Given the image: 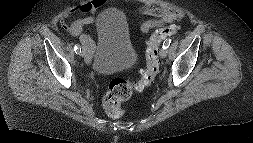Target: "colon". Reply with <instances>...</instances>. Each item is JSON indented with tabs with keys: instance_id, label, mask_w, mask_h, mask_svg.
<instances>
[{
	"instance_id": "1",
	"label": "colon",
	"mask_w": 253,
	"mask_h": 143,
	"mask_svg": "<svg viewBox=\"0 0 253 143\" xmlns=\"http://www.w3.org/2000/svg\"><path fill=\"white\" fill-rule=\"evenodd\" d=\"M177 32L178 28L176 26H170L157 30L151 36L146 48V66L142 70L138 82L120 77L110 81L103 100L104 109L109 116L113 118L121 117L124 113L122 103L130 99L135 91H142L153 83L159 70V47L165 39L174 36Z\"/></svg>"
}]
</instances>
